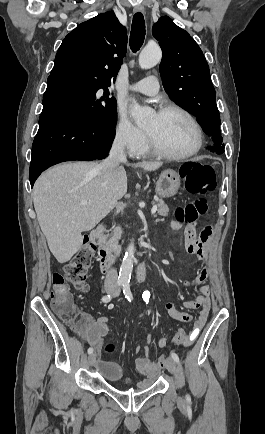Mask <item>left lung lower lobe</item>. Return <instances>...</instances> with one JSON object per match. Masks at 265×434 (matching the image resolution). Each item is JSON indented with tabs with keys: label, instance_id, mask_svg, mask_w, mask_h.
Returning a JSON list of instances; mask_svg holds the SVG:
<instances>
[{
	"label": "left lung lower lobe",
	"instance_id": "obj_1",
	"mask_svg": "<svg viewBox=\"0 0 265 434\" xmlns=\"http://www.w3.org/2000/svg\"><path fill=\"white\" fill-rule=\"evenodd\" d=\"M209 149L213 152H216L217 154H222L224 152V149H217L214 147H209Z\"/></svg>",
	"mask_w": 265,
	"mask_h": 434
}]
</instances>
